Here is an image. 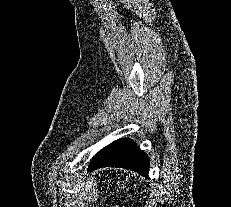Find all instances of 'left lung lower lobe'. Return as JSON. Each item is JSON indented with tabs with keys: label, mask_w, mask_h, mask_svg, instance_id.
I'll use <instances>...</instances> for the list:
<instances>
[{
	"label": "left lung lower lobe",
	"mask_w": 231,
	"mask_h": 207,
	"mask_svg": "<svg viewBox=\"0 0 231 207\" xmlns=\"http://www.w3.org/2000/svg\"><path fill=\"white\" fill-rule=\"evenodd\" d=\"M120 167L148 177L149 159L130 139H119L102 149L93 157L89 171L101 167Z\"/></svg>",
	"instance_id": "obj_1"
}]
</instances>
